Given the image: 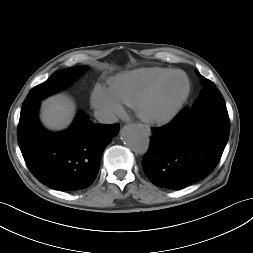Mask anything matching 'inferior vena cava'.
Masks as SVG:
<instances>
[{
    "label": "inferior vena cava",
    "instance_id": "1",
    "mask_svg": "<svg viewBox=\"0 0 253 253\" xmlns=\"http://www.w3.org/2000/svg\"><path fill=\"white\" fill-rule=\"evenodd\" d=\"M95 118L103 124H113L117 122V117L110 111L106 110H96L94 112Z\"/></svg>",
    "mask_w": 253,
    "mask_h": 253
}]
</instances>
